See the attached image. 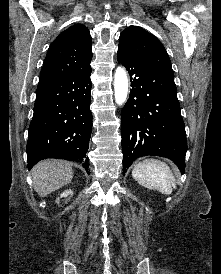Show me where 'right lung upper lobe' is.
Here are the masks:
<instances>
[{
  "label": "right lung upper lobe",
  "mask_w": 221,
  "mask_h": 274,
  "mask_svg": "<svg viewBox=\"0 0 221 274\" xmlns=\"http://www.w3.org/2000/svg\"><path fill=\"white\" fill-rule=\"evenodd\" d=\"M92 38L87 27L76 24L50 45L38 84L43 87L91 68Z\"/></svg>",
  "instance_id": "cb5924a9"
}]
</instances>
